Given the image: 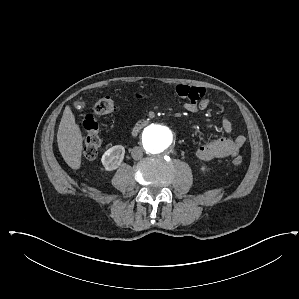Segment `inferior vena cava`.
Masks as SVG:
<instances>
[{
    "label": "inferior vena cava",
    "mask_w": 299,
    "mask_h": 299,
    "mask_svg": "<svg viewBox=\"0 0 299 299\" xmlns=\"http://www.w3.org/2000/svg\"><path fill=\"white\" fill-rule=\"evenodd\" d=\"M131 156L135 160L141 159L142 156H143V149L141 147H138V146L134 147L132 149Z\"/></svg>",
    "instance_id": "obj_1"
}]
</instances>
